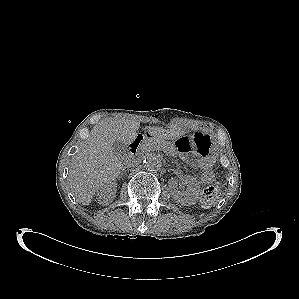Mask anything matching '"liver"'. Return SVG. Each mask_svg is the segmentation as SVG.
<instances>
[{"instance_id":"liver-1","label":"liver","mask_w":299,"mask_h":299,"mask_svg":"<svg viewBox=\"0 0 299 299\" xmlns=\"http://www.w3.org/2000/svg\"><path fill=\"white\" fill-rule=\"evenodd\" d=\"M139 127L140 123L132 119L106 120L93 127L83 148L73 157L68 174L69 186L77 202L89 205L102 186L119 176L123 161L113 152V143L131 144ZM146 129L150 136L164 140L177 139L186 133L176 126Z\"/></svg>"}]
</instances>
